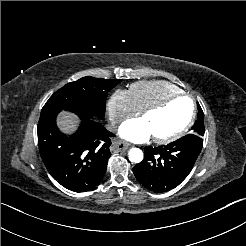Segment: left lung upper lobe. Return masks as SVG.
Segmentation results:
<instances>
[{"label":"left lung upper lobe","instance_id":"obj_1","mask_svg":"<svg viewBox=\"0 0 246 246\" xmlns=\"http://www.w3.org/2000/svg\"><path fill=\"white\" fill-rule=\"evenodd\" d=\"M197 105H198V115H197V120L192 127V134L203 137L204 135V114H203V111L200 105L199 104Z\"/></svg>","mask_w":246,"mask_h":246}]
</instances>
